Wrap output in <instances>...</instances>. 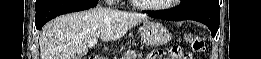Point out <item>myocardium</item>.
Listing matches in <instances>:
<instances>
[{
	"mask_svg": "<svg viewBox=\"0 0 261 59\" xmlns=\"http://www.w3.org/2000/svg\"><path fill=\"white\" fill-rule=\"evenodd\" d=\"M132 2L137 7L144 9V10L159 11V10H165V9L172 7L174 3L178 2V0H170V2H168L166 4H160V5L142 3V2L136 1V0H133Z\"/></svg>",
	"mask_w": 261,
	"mask_h": 59,
	"instance_id": "obj_1",
	"label": "myocardium"
}]
</instances>
